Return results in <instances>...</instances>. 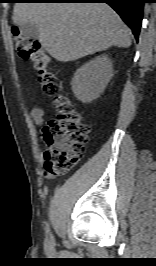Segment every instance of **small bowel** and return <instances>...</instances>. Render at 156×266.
Here are the masks:
<instances>
[{
    "label": "small bowel",
    "mask_w": 156,
    "mask_h": 266,
    "mask_svg": "<svg viewBox=\"0 0 156 266\" xmlns=\"http://www.w3.org/2000/svg\"><path fill=\"white\" fill-rule=\"evenodd\" d=\"M31 115L36 125H43L45 122V111L40 107H33L31 110ZM47 177H51V175L47 174Z\"/></svg>",
    "instance_id": "small-bowel-1"
}]
</instances>
